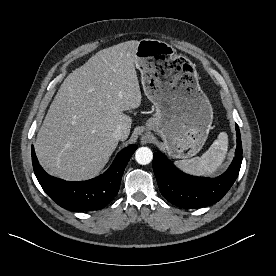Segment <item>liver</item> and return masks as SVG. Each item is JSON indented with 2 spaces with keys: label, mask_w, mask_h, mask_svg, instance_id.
<instances>
[{
  "label": "liver",
  "mask_w": 276,
  "mask_h": 276,
  "mask_svg": "<svg viewBox=\"0 0 276 276\" xmlns=\"http://www.w3.org/2000/svg\"><path fill=\"white\" fill-rule=\"evenodd\" d=\"M138 44L131 40L100 50L65 78L34 145L50 175L68 181L97 176L118 145L114 130L121 125L129 135L132 119L123 112L142 101Z\"/></svg>",
  "instance_id": "obj_1"
}]
</instances>
